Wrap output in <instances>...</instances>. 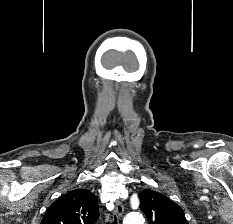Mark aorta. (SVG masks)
<instances>
[{
  "label": "aorta",
  "instance_id": "obj_1",
  "mask_svg": "<svg viewBox=\"0 0 233 224\" xmlns=\"http://www.w3.org/2000/svg\"><path fill=\"white\" fill-rule=\"evenodd\" d=\"M123 224H144V218L139 212H132L125 217Z\"/></svg>",
  "mask_w": 233,
  "mask_h": 224
}]
</instances>
